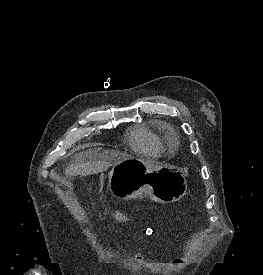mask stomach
<instances>
[{"label": "stomach", "instance_id": "stomach-1", "mask_svg": "<svg viewBox=\"0 0 263 275\" xmlns=\"http://www.w3.org/2000/svg\"><path fill=\"white\" fill-rule=\"evenodd\" d=\"M108 189L113 197L130 200L148 196L158 203L180 200L187 192V181L180 172L130 157L115 164L109 173Z\"/></svg>", "mask_w": 263, "mask_h": 275}]
</instances>
